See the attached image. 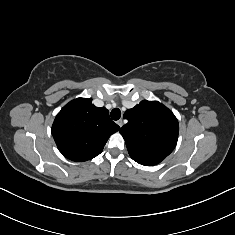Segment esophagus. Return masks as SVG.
<instances>
[{"label": "esophagus", "instance_id": "34e87169", "mask_svg": "<svg viewBox=\"0 0 235 235\" xmlns=\"http://www.w3.org/2000/svg\"><path fill=\"white\" fill-rule=\"evenodd\" d=\"M117 124L119 125V127H122L123 126V120L122 119H119L117 121Z\"/></svg>", "mask_w": 235, "mask_h": 235}]
</instances>
